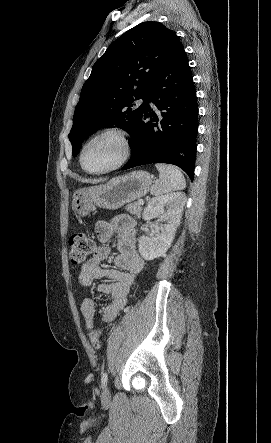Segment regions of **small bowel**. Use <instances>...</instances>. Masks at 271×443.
I'll use <instances>...</instances> for the list:
<instances>
[{
	"label": "small bowel",
	"instance_id": "obj_1",
	"mask_svg": "<svg viewBox=\"0 0 271 443\" xmlns=\"http://www.w3.org/2000/svg\"><path fill=\"white\" fill-rule=\"evenodd\" d=\"M98 239L103 243L92 258L82 267L79 275L83 286H90L97 279L107 278L111 282L97 286L98 292L109 296L110 301L100 306L101 322L113 321L126 303V298L135 276L142 270L144 261L136 250V223L128 215H120L113 221H100L96 226ZM117 238L118 255L115 264L118 268H106L102 262L109 258L111 248L108 243ZM98 307L91 298H85L81 303V313L87 328H92Z\"/></svg>",
	"mask_w": 271,
	"mask_h": 443
}]
</instances>
